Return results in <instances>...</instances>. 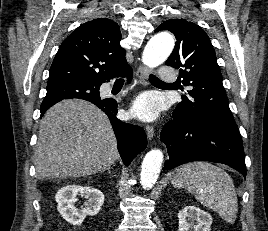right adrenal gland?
Wrapping results in <instances>:
<instances>
[{
  "label": "right adrenal gland",
  "mask_w": 268,
  "mask_h": 231,
  "mask_svg": "<svg viewBox=\"0 0 268 231\" xmlns=\"http://www.w3.org/2000/svg\"><path fill=\"white\" fill-rule=\"evenodd\" d=\"M111 166H108L107 168L103 169V172L107 170L108 174H111Z\"/></svg>",
  "instance_id": "2a0ac1e0"
}]
</instances>
